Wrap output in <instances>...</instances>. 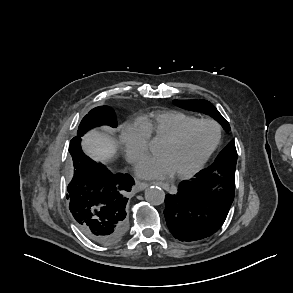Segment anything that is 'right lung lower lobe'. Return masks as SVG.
<instances>
[{
  "instance_id": "obj_1",
  "label": "right lung lower lobe",
  "mask_w": 293,
  "mask_h": 293,
  "mask_svg": "<svg viewBox=\"0 0 293 293\" xmlns=\"http://www.w3.org/2000/svg\"><path fill=\"white\" fill-rule=\"evenodd\" d=\"M81 136L69 146L73 177L68 185L69 209L80 230L92 241L112 244L127 232L126 192L134 184L129 174H113L81 150Z\"/></svg>"
}]
</instances>
